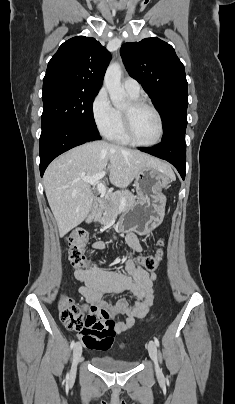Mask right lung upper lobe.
Listing matches in <instances>:
<instances>
[{
  "label": "right lung upper lobe",
  "instance_id": "cb5924a9",
  "mask_svg": "<svg viewBox=\"0 0 235 404\" xmlns=\"http://www.w3.org/2000/svg\"><path fill=\"white\" fill-rule=\"evenodd\" d=\"M110 59V53L94 38L73 37L49 61L43 86L58 84L98 93Z\"/></svg>",
  "mask_w": 235,
  "mask_h": 404
}]
</instances>
